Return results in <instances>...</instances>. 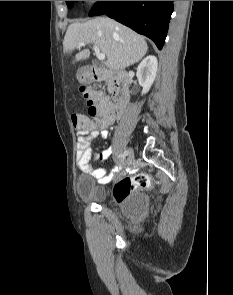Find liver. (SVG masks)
I'll use <instances>...</instances> for the list:
<instances>
[{"label":"liver","mask_w":233,"mask_h":295,"mask_svg":"<svg viewBox=\"0 0 233 295\" xmlns=\"http://www.w3.org/2000/svg\"><path fill=\"white\" fill-rule=\"evenodd\" d=\"M80 42L98 46L107 56L106 66L116 71L139 62L148 50L144 37L107 17L70 24L63 41L64 53H71ZM89 56L90 51L84 49L76 54L75 61L86 60Z\"/></svg>","instance_id":"obj_1"}]
</instances>
